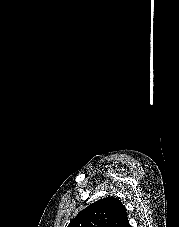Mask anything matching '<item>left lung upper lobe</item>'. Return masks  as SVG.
Wrapping results in <instances>:
<instances>
[{
	"mask_svg": "<svg viewBox=\"0 0 179 227\" xmlns=\"http://www.w3.org/2000/svg\"><path fill=\"white\" fill-rule=\"evenodd\" d=\"M68 227H130V224L121 201L107 197L79 212Z\"/></svg>",
	"mask_w": 179,
	"mask_h": 227,
	"instance_id": "left-lung-upper-lobe-1",
	"label": "left lung upper lobe"
}]
</instances>
